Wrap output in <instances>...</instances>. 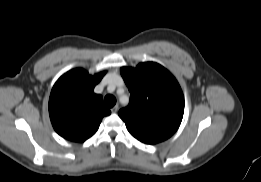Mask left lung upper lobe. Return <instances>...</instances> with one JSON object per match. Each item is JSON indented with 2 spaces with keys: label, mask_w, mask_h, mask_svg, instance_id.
Masks as SVG:
<instances>
[{
  "label": "left lung upper lobe",
  "mask_w": 261,
  "mask_h": 182,
  "mask_svg": "<svg viewBox=\"0 0 261 182\" xmlns=\"http://www.w3.org/2000/svg\"><path fill=\"white\" fill-rule=\"evenodd\" d=\"M130 103L119 111L128 131L139 141L156 144L171 137L184 113V97L174 76L154 62L122 67Z\"/></svg>",
  "instance_id": "obj_1"
}]
</instances>
